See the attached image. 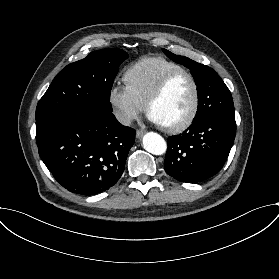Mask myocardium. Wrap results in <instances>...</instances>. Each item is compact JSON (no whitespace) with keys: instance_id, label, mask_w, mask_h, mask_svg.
Here are the masks:
<instances>
[{"instance_id":"f54148a6","label":"myocardium","mask_w":279,"mask_h":279,"mask_svg":"<svg viewBox=\"0 0 279 279\" xmlns=\"http://www.w3.org/2000/svg\"><path fill=\"white\" fill-rule=\"evenodd\" d=\"M186 75L194 86V102L190 113L187 117L178 124L165 126L162 125L163 129L168 133H179L187 129L194 122L200 108L201 91L200 86L194 75L189 70H179L166 75L158 86L152 91L147 101V112L150 114L153 104L165 93L170 84L178 77Z\"/></svg>"}]
</instances>
